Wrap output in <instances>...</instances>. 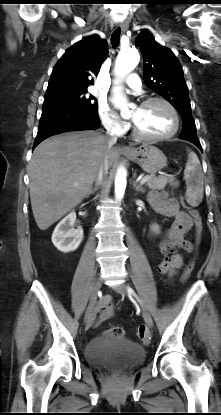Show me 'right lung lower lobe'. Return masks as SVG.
I'll use <instances>...</instances> for the list:
<instances>
[{
	"label": "right lung lower lobe",
	"instance_id": "98d812e1",
	"mask_svg": "<svg viewBox=\"0 0 221 415\" xmlns=\"http://www.w3.org/2000/svg\"><path fill=\"white\" fill-rule=\"evenodd\" d=\"M99 125L98 113L68 105H43L33 149L50 136L68 131L96 129Z\"/></svg>",
	"mask_w": 221,
	"mask_h": 415
}]
</instances>
